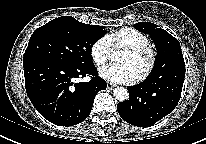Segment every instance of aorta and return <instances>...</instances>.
Returning <instances> with one entry per match:
<instances>
[{
    "mask_svg": "<svg viewBox=\"0 0 206 144\" xmlns=\"http://www.w3.org/2000/svg\"><path fill=\"white\" fill-rule=\"evenodd\" d=\"M113 95L115 99H117L120 102L126 101L129 98V93L127 89L123 87H117L114 89Z\"/></svg>",
    "mask_w": 206,
    "mask_h": 144,
    "instance_id": "1",
    "label": "aorta"
}]
</instances>
